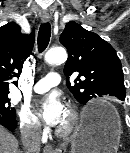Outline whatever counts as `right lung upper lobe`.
Wrapping results in <instances>:
<instances>
[{"label":"right lung upper lobe","instance_id":"cb5924a9","mask_svg":"<svg viewBox=\"0 0 130 153\" xmlns=\"http://www.w3.org/2000/svg\"><path fill=\"white\" fill-rule=\"evenodd\" d=\"M34 41V31L30 35L23 34L14 22L0 27V92H9V81L19 77Z\"/></svg>","mask_w":130,"mask_h":153}]
</instances>
